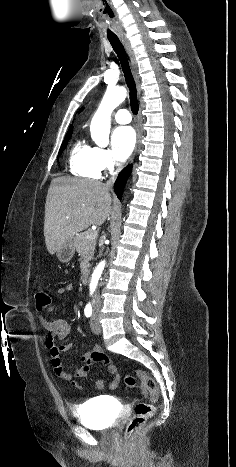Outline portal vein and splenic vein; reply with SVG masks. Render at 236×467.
<instances>
[{
  "label": "portal vein and splenic vein",
  "instance_id": "18ae733b",
  "mask_svg": "<svg viewBox=\"0 0 236 467\" xmlns=\"http://www.w3.org/2000/svg\"><path fill=\"white\" fill-rule=\"evenodd\" d=\"M97 236H98V232L96 230H93L86 235V239L91 240V239L96 238Z\"/></svg>",
  "mask_w": 236,
  "mask_h": 467
}]
</instances>
